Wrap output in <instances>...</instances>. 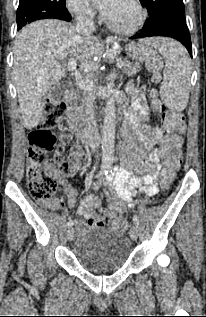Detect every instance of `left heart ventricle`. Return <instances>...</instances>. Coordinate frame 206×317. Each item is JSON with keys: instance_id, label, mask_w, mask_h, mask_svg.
I'll use <instances>...</instances> for the list:
<instances>
[{"instance_id": "b2bd125f", "label": "left heart ventricle", "mask_w": 206, "mask_h": 317, "mask_svg": "<svg viewBox=\"0 0 206 317\" xmlns=\"http://www.w3.org/2000/svg\"><path fill=\"white\" fill-rule=\"evenodd\" d=\"M107 18L118 26L127 27L135 23L138 11L129 0H117Z\"/></svg>"}]
</instances>
